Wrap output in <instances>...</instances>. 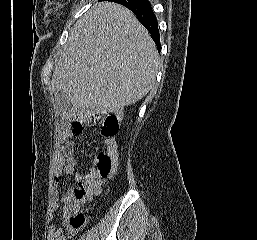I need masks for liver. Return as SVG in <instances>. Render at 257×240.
Wrapping results in <instances>:
<instances>
[{
	"label": "liver",
	"mask_w": 257,
	"mask_h": 240,
	"mask_svg": "<svg viewBox=\"0 0 257 240\" xmlns=\"http://www.w3.org/2000/svg\"><path fill=\"white\" fill-rule=\"evenodd\" d=\"M159 53L148 31L127 8L100 2L73 26L51 81L74 110L112 112L147 95L155 83Z\"/></svg>",
	"instance_id": "6515ba94"
}]
</instances>
